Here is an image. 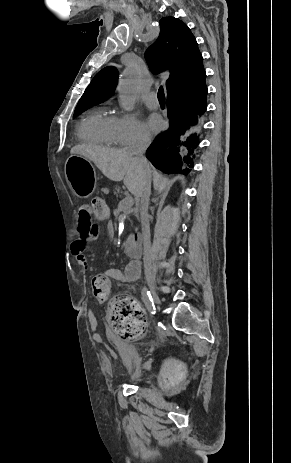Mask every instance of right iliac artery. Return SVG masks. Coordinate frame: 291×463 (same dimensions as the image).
Returning <instances> with one entry per match:
<instances>
[{
	"instance_id": "right-iliac-artery-1",
	"label": "right iliac artery",
	"mask_w": 291,
	"mask_h": 463,
	"mask_svg": "<svg viewBox=\"0 0 291 463\" xmlns=\"http://www.w3.org/2000/svg\"><path fill=\"white\" fill-rule=\"evenodd\" d=\"M142 299L148 309V311L152 314H155V305L151 296L150 291L147 290L146 287L142 289Z\"/></svg>"
}]
</instances>
